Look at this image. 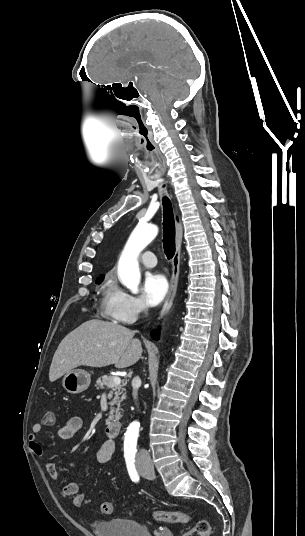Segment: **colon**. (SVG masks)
Returning a JSON list of instances; mask_svg holds the SVG:
<instances>
[{"mask_svg": "<svg viewBox=\"0 0 305 536\" xmlns=\"http://www.w3.org/2000/svg\"><path fill=\"white\" fill-rule=\"evenodd\" d=\"M54 419V412L48 411L45 416L47 423H52ZM87 495L85 492L80 491L71 499V504L74 508L80 512H84L82 506L85 503ZM101 511L105 514H112L114 511L113 503L110 500H103L101 502ZM151 515L154 519L164 521L168 523H189L196 521L194 527L190 531L186 532L184 536H211V528L209 523L204 519H197L196 516L186 514L182 512H167L160 510H152Z\"/></svg>", "mask_w": 305, "mask_h": 536, "instance_id": "1", "label": "colon"}]
</instances>
